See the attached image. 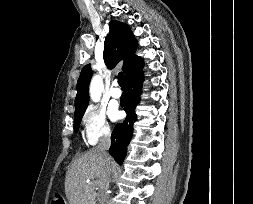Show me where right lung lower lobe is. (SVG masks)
Wrapping results in <instances>:
<instances>
[{"mask_svg":"<svg viewBox=\"0 0 253 204\" xmlns=\"http://www.w3.org/2000/svg\"><path fill=\"white\" fill-rule=\"evenodd\" d=\"M143 60L134 66L125 76L127 92L121 97V106L127 113L124 122L115 126L111 135V147L109 153L121 165L127 152V146L133 134V122L136 120L135 107L140 101V93L143 79Z\"/></svg>","mask_w":253,"mask_h":204,"instance_id":"98d812e1","label":"right lung lower lobe"}]
</instances>
